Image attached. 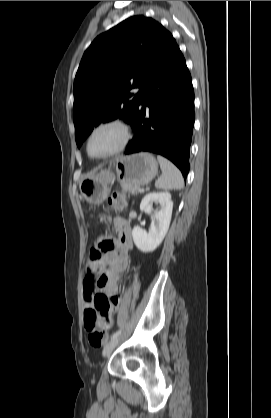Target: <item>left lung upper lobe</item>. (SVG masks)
<instances>
[{"mask_svg": "<svg viewBox=\"0 0 271 418\" xmlns=\"http://www.w3.org/2000/svg\"><path fill=\"white\" fill-rule=\"evenodd\" d=\"M172 40V34L161 24L139 15L91 43L74 80L73 119L78 148L99 123L117 118L130 122ZM137 87L139 92L132 93Z\"/></svg>", "mask_w": 271, "mask_h": 418, "instance_id": "obj_1", "label": "left lung upper lobe"}]
</instances>
